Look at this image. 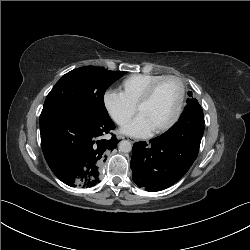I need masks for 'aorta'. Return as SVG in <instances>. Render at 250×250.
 <instances>
[{
    "mask_svg": "<svg viewBox=\"0 0 250 250\" xmlns=\"http://www.w3.org/2000/svg\"><path fill=\"white\" fill-rule=\"evenodd\" d=\"M118 148L122 153H128L132 150V144L128 140H122L119 142Z\"/></svg>",
    "mask_w": 250,
    "mask_h": 250,
    "instance_id": "762f6f07",
    "label": "aorta"
}]
</instances>
